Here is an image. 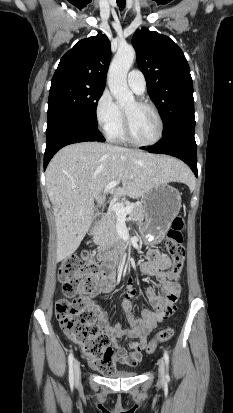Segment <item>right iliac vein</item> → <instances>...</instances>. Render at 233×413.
Listing matches in <instances>:
<instances>
[{
    "mask_svg": "<svg viewBox=\"0 0 233 413\" xmlns=\"http://www.w3.org/2000/svg\"><path fill=\"white\" fill-rule=\"evenodd\" d=\"M74 377H75V382L79 383L81 379V369H80V364L78 360L74 361Z\"/></svg>",
    "mask_w": 233,
    "mask_h": 413,
    "instance_id": "1",
    "label": "right iliac vein"
}]
</instances>
